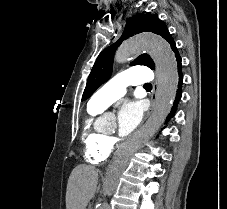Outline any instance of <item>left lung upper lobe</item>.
<instances>
[{"mask_svg":"<svg viewBox=\"0 0 227 209\" xmlns=\"http://www.w3.org/2000/svg\"><path fill=\"white\" fill-rule=\"evenodd\" d=\"M142 32H152L160 35L168 41V43L171 45V48L176 46L165 23L158 18L157 14L147 12L128 18L123 34L119 40L116 41V43L112 46L104 49L97 57L88 77L87 85L82 96V101L89 98L102 83L110 78L115 49L123 42V40ZM130 65H145L151 69L155 68L153 60L147 54L138 56L134 61L131 62Z\"/></svg>","mask_w":227,"mask_h":209,"instance_id":"5c2ea615","label":"left lung upper lobe"}]
</instances>
